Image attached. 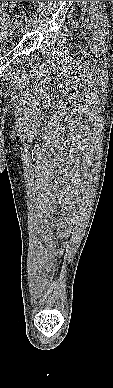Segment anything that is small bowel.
I'll list each match as a JSON object with an SVG mask.
<instances>
[{
	"label": "small bowel",
	"instance_id": "c3829d8e",
	"mask_svg": "<svg viewBox=\"0 0 113 388\" xmlns=\"http://www.w3.org/2000/svg\"><path fill=\"white\" fill-rule=\"evenodd\" d=\"M1 2H4V4L3 5L0 4V22L1 21L9 22L8 16L5 13V10L8 7V2L7 1H1ZM10 7H13V4H10Z\"/></svg>",
	"mask_w": 113,
	"mask_h": 388
}]
</instances>
